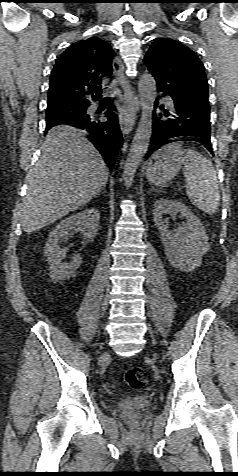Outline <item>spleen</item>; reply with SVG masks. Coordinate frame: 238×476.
Returning <instances> with one entry per match:
<instances>
[{
  "label": "spleen",
  "instance_id": "1",
  "mask_svg": "<svg viewBox=\"0 0 238 476\" xmlns=\"http://www.w3.org/2000/svg\"><path fill=\"white\" fill-rule=\"evenodd\" d=\"M183 152L186 194L196 207L208 214H215L220 205V191L211 160L192 149Z\"/></svg>",
  "mask_w": 238,
  "mask_h": 476
}]
</instances>
